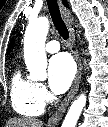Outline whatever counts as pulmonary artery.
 <instances>
[{"label":"pulmonary artery","mask_w":108,"mask_h":127,"mask_svg":"<svg viewBox=\"0 0 108 127\" xmlns=\"http://www.w3.org/2000/svg\"><path fill=\"white\" fill-rule=\"evenodd\" d=\"M45 50L48 53H56L60 50V44L56 40L49 41L45 46Z\"/></svg>","instance_id":"e3ab8cb5"}]
</instances>
